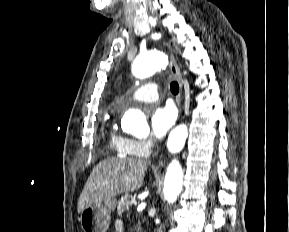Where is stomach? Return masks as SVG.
I'll return each mask as SVG.
<instances>
[{"label": "stomach", "instance_id": "stomach-1", "mask_svg": "<svg viewBox=\"0 0 289 232\" xmlns=\"http://www.w3.org/2000/svg\"><path fill=\"white\" fill-rule=\"evenodd\" d=\"M117 204L111 198L99 204H93L80 213V224L84 232H106L111 219V213Z\"/></svg>", "mask_w": 289, "mask_h": 232}]
</instances>
